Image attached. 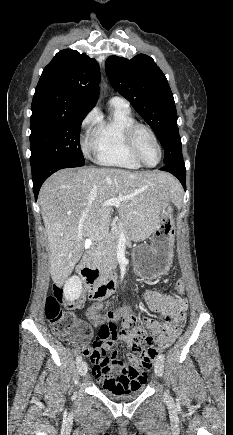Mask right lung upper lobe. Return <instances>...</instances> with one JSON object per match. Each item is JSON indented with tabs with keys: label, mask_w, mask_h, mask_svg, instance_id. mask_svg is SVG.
<instances>
[{
	"label": "right lung upper lobe",
	"mask_w": 233,
	"mask_h": 435,
	"mask_svg": "<svg viewBox=\"0 0 233 435\" xmlns=\"http://www.w3.org/2000/svg\"><path fill=\"white\" fill-rule=\"evenodd\" d=\"M95 59L76 50L58 52L44 68L32 101V116L87 115L99 96Z\"/></svg>",
	"instance_id": "right-lung-upper-lobe-1"
}]
</instances>
